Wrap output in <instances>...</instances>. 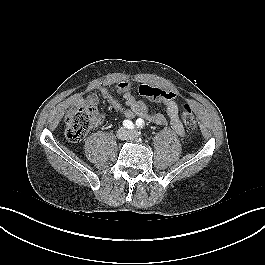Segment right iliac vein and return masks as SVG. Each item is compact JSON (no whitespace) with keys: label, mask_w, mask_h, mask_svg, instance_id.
<instances>
[{"label":"right iliac vein","mask_w":265,"mask_h":265,"mask_svg":"<svg viewBox=\"0 0 265 265\" xmlns=\"http://www.w3.org/2000/svg\"><path fill=\"white\" fill-rule=\"evenodd\" d=\"M117 135L118 137L123 138L126 135V131L124 129H120Z\"/></svg>","instance_id":"63e3f726"}]
</instances>
